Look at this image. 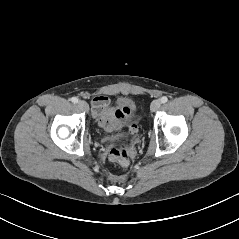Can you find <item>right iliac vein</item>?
Returning <instances> with one entry per match:
<instances>
[{
    "label": "right iliac vein",
    "mask_w": 239,
    "mask_h": 239,
    "mask_svg": "<svg viewBox=\"0 0 239 239\" xmlns=\"http://www.w3.org/2000/svg\"><path fill=\"white\" fill-rule=\"evenodd\" d=\"M78 107L82 110V111H88L89 109V106L87 104V102L83 101V100H80L78 102Z\"/></svg>",
    "instance_id": "right-iliac-vein-1"
}]
</instances>
